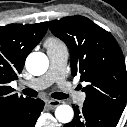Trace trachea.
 Wrapping results in <instances>:
<instances>
[{"label":"trachea","mask_w":127,"mask_h":127,"mask_svg":"<svg viewBox=\"0 0 127 127\" xmlns=\"http://www.w3.org/2000/svg\"><path fill=\"white\" fill-rule=\"evenodd\" d=\"M22 92L27 95V96H30V97H36L38 95V93L33 90V89H23ZM51 96L55 99H66L69 97L68 94H65V93H62V92H55V93H52Z\"/></svg>","instance_id":"trachea-1"}]
</instances>
